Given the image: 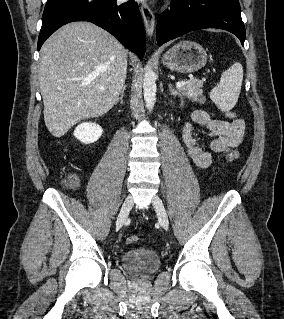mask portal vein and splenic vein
<instances>
[{
	"instance_id": "obj_1",
	"label": "portal vein and splenic vein",
	"mask_w": 284,
	"mask_h": 319,
	"mask_svg": "<svg viewBox=\"0 0 284 319\" xmlns=\"http://www.w3.org/2000/svg\"><path fill=\"white\" fill-rule=\"evenodd\" d=\"M193 81H196V79H190L189 81H179L176 83V87L181 88V87L185 86L187 83H190Z\"/></svg>"
}]
</instances>
